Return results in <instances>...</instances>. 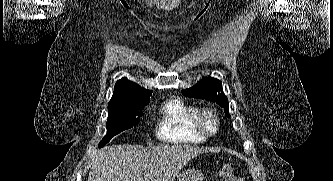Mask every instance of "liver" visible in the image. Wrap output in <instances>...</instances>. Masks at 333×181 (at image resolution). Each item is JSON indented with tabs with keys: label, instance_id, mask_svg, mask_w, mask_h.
<instances>
[{
	"label": "liver",
	"instance_id": "liver-1",
	"mask_svg": "<svg viewBox=\"0 0 333 181\" xmlns=\"http://www.w3.org/2000/svg\"><path fill=\"white\" fill-rule=\"evenodd\" d=\"M204 152V148L178 144L142 149L105 146L91 162L88 181H173L183 166Z\"/></svg>",
	"mask_w": 333,
	"mask_h": 181
}]
</instances>
